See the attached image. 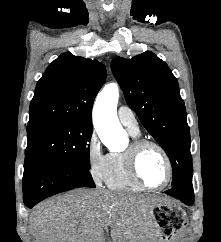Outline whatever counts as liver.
Masks as SVG:
<instances>
[{
  "label": "liver",
  "instance_id": "6515ba94",
  "mask_svg": "<svg viewBox=\"0 0 221 242\" xmlns=\"http://www.w3.org/2000/svg\"><path fill=\"white\" fill-rule=\"evenodd\" d=\"M160 197L76 189L40 204L29 218L36 242H156L159 235L151 209Z\"/></svg>",
  "mask_w": 221,
  "mask_h": 242
}]
</instances>
